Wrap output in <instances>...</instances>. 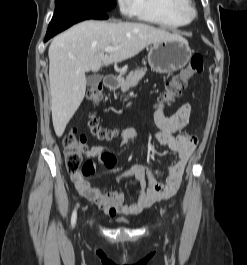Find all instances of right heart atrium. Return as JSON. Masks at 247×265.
<instances>
[{
	"mask_svg": "<svg viewBox=\"0 0 247 265\" xmlns=\"http://www.w3.org/2000/svg\"><path fill=\"white\" fill-rule=\"evenodd\" d=\"M119 9L122 14L132 16L137 9V0H117Z\"/></svg>",
	"mask_w": 247,
	"mask_h": 265,
	"instance_id": "right-heart-atrium-1",
	"label": "right heart atrium"
}]
</instances>
